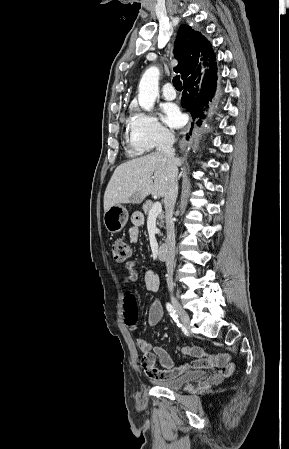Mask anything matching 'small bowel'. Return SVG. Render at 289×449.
I'll list each match as a JSON object with an SVG mask.
<instances>
[{
    "instance_id": "c3829d8e",
    "label": "small bowel",
    "mask_w": 289,
    "mask_h": 449,
    "mask_svg": "<svg viewBox=\"0 0 289 449\" xmlns=\"http://www.w3.org/2000/svg\"><path fill=\"white\" fill-rule=\"evenodd\" d=\"M142 219L139 216L132 218L133 226L128 231L129 240L133 243L137 242L139 238V226ZM136 262L129 261L126 263L128 274L123 278V289L125 294L129 293V285L134 284L138 279V273L135 269ZM145 287L150 292H156L159 289L160 280L156 272L148 270L144 276ZM163 317V307L161 302L156 299L152 302L148 311V326H156ZM131 330L137 329L136 322L128 323ZM139 350L143 353L141 365L146 375L153 380L157 379H172L176 378L188 370L191 369H208L211 367L219 368L218 376L225 377L230 375L234 371V364L230 363V355L228 353H220L217 355H211L205 353V351L198 346H186L179 348V351L183 355H190L194 357L189 362L182 363L175 366L168 352L160 347L155 346L152 348L151 344L143 339L137 338L136 340ZM159 361L162 368L156 367V361Z\"/></svg>"
}]
</instances>
